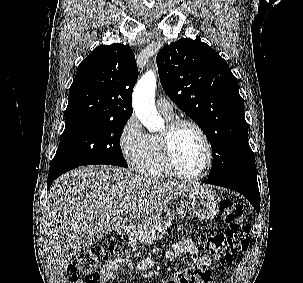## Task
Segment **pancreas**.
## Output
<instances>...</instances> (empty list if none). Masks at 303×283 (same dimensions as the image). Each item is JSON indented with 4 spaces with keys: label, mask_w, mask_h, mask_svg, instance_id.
Wrapping results in <instances>:
<instances>
[{
    "label": "pancreas",
    "mask_w": 303,
    "mask_h": 283,
    "mask_svg": "<svg viewBox=\"0 0 303 283\" xmlns=\"http://www.w3.org/2000/svg\"><path fill=\"white\" fill-rule=\"evenodd\" d=\"M165 232L166 230L164 232L161 231L156 233L154 231H143L142 229L137 228L130 233V239H132L134 242L141 241L146 243H152L157 238H163Z\"/></svg>",
    "instance_id": "obj_1"
}]
</instances>
